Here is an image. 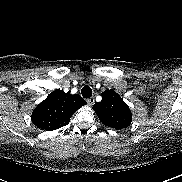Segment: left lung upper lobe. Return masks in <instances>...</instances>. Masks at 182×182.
<instances>
[{"instance_id":"obj_1","label":"left lung upper lobe","mask_w":182,"mask_h":182,"mask_svg":"<svg viewBox=\"0 0 182 182\" xmlns=\"http://www.w3.org/2000/svg\"><path fill=\"white\" fill-rule=\"evenodd\" d=\"M102 101L93 105L100 121L108 127L123 129L131 124L132 113L119 94L114 90L102 92Z\"/></svg>"}]
</instances>
